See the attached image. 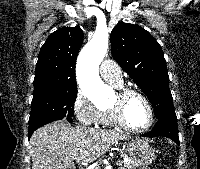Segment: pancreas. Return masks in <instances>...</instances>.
Listing matches in <instances>:
<instances>
[{"instance_id": "1", "label": "pancreas", "mask_w": 200, "mask_h": 169, "mask_svg": "<svg viewBox=\"0 0 200 169\" xmlns=\"http://www.w3.org/2000/svg\"><path fill=\"white\" fill-rule=\"evenodd\" d=\"M136 167L137 165L131 159H129L127 162H124L123 166L119 169H135ZM95 169H100V168L96 167Z\"/></svg>"}]
</instances>
